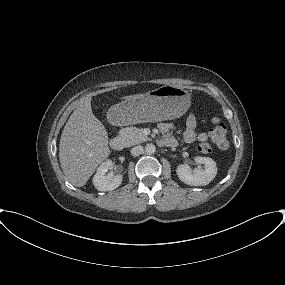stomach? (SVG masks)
<instances>
[{"instance_id": "stomach-1", "label": "stomach", "mask_w": 285, "mask_h": 285, "mask_svg": "<svg viewBox=\"0 0 285 285\" xmlns=\"http://www.w3.org/2000/svg\"><path fill=\"white\" fill-rule=\"evenodd\" d=\"M190 103L188 90L164 85L112 106L109 116L122 125L157 122L182 116Z\"/></svg>"}]
</instances>
